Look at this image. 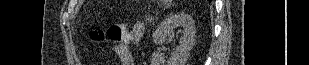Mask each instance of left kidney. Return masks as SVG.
I'll use <instances>...</instances> for the list:
<instances>
[{"instance_id":"1","label":"left kidney","mask_w":309,"mask_h":65,"mask_svg":"<svg viewBox=\"0 0 309 65\" xmlns=\"http://www.w3.org/2000/svg\"><path fill=\"white\" fill-rule=\"evenodd\" d=\"M177 27L183 28V36L180 38L179 46L174 54L165 61L160 51L152 54L151 65H185L189 53L195 44V22L193 18L185 13L172 15L163 20L153 33V41L161 45L165 39L174 33Z\"/></svg>"}]
</instances>
